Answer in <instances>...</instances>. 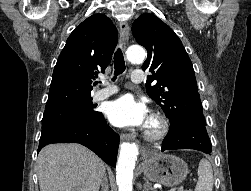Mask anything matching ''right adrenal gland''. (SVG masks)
<instances>
[{
	"mask_svg": "<svg viewBox=\"0 0 251 191\" xmlns=\"http://www.w3.org/2000/svg\"><path fill=\"white\" fill-rule=\"evenodd\" d=\"M101 185H102L101 191H107V189H108V177H107V173H105V175H104V177L102 179Z\"/></svg>",
	"mask_w": 251,
	"mask_h": 191,
	"instance_id": "2a0ac1e0",
	"label": "right adrenal gland"
}]
</instances>
